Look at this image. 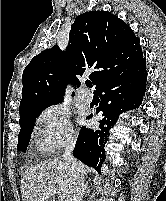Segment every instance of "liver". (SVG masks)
<instances>
[{"label": "liver", "instance_id": "1", "mask_svg": "<svg viewBox=\"0 0 166 201\" xmlns=\"http://www.w3.org/2000/svg\"><path fill=\"white\" fill-rule=\"evenodd\" d=\"M80 165L84 172L85 166ZM20 188L22 201H70L72 178L67 162L63 157H55L27 167L22 173ZM49 190H55L56 194L45 198Z\"/></svg>", "mask_w": 166, "mask_h": 201}]
</instances>
